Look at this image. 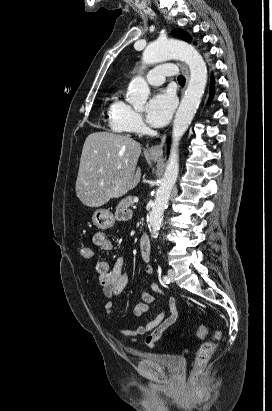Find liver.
Returning <instances> with one entry per match:
<instances>
[{
  "mask_svg": "<svg viewBox=\"0 0 272 411\" xmlns=\"http://www.w3.org/2000/svg\"><path fill=\"white\" fill-rule=\"evenodd\" d=\"M141 145L128 136L110 132L90 134L83 145L76 195L88 207H100L135 188Z\"/></svg>",
  "mask_w": 272,
  "mask_h": 411,
  "instance_id": "obj_1",
  "label": "liver"
}]
</instances>
